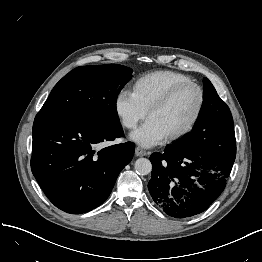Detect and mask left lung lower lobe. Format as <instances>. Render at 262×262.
Instances as JSON below:
<instances>
[{"instance_id":"0a47b994","label":"left lung lower lobe","mask_w":262,"mask_h":262,"mask_svg":"<svg viewBox=\"0 0 262 262\" xmlns=\"http://www.w3.org/2000/svg\"><path fill=\"white\" fill-rule=\"evenodd\" d=\"M236 156V142H228L221 156L178 151L171 146L151 155L148 189L169 216L189 218L204 212L223 192Z\"/></svg>"}]
</instances>
